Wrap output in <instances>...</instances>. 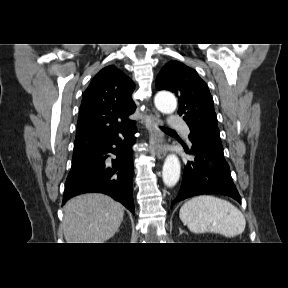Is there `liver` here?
Listing matches in <instances>:
<instances>
[{
  "label": "liver",
  "instance_id": "6515ba94",
  "mask_svg": "<svg viewBox=\"0 0 288 288\" xmlns=\"http://www.w3.org/2000/svg\"><path fill=\"white\" fill-rule=\"evenodd\" d=\"M63 210L67 243H104L116 233L124 216L119 202L97 193L74 197Z\"/></svg>",
  "mask_w": 288,
  "mask_h": 288
}]
</instances>
